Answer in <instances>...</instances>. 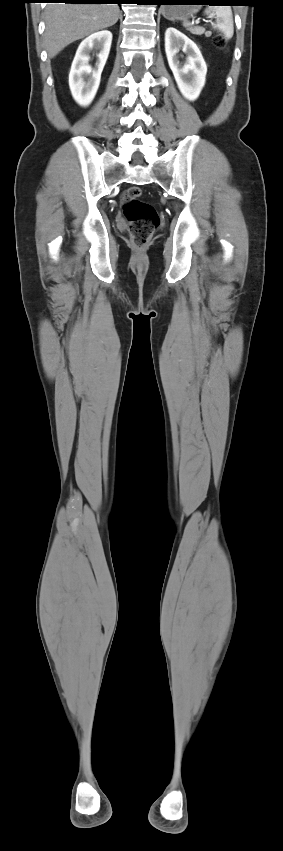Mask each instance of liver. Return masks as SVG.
I'll return each mask as SVG.
<instances>
[{
	"label": "liver",
	"instance_id": "liver-1",
	"mask_svg": "<svg viewBox=\"0 0 283 851\" xmlns=\"http://www.w3.org/2000/svg\"><path fill=\"white\" fill-rule=\"evenodd\" d=\"M117 4L50 3L45 10V46L49 58L69 44L114 25Z\"/></svg>",
	"mask_w": 283,
	"mask_h": 851
}]
</instances>
